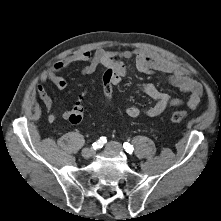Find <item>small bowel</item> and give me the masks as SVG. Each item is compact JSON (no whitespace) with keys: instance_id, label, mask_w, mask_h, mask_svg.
Here are the masks:
<instances>
[{"instance_id":"1","label":"small bowel","mask_w":221,"mask_h":221,"mask_svg":"<svg viewBox=\"0 0 221 221\" xmlns=\"http://www.w3.org/2000/svg\"><path fill=\"white\" fill-rule=\"evenodd\" d=\"M121 59L132 60L134 68L142 74L160 73L165 76L166 80L180 91L188 94L186 101L173 97L170 93L158 89L154 84L144 83L138 86L139 91L149 96L154 100V104L145 110L149 117H156L171 107L186 105L190 109H196L200 105V100L203 94L202 85L189 76L188 70L183 66L169 60L168 58L156 54H149L142 50L129 49L122 51H108L104 48L96 51H80L74 53L58 62H56L49 70L41 74V82H50L55 87L63 90L67 87L65 78L59 73L66 68L78 62H85L83 74H91L98 67L110 66L114 71L113 86L119 84L128 72V67ZM39 83L36 87L37 94L43 102L48 113V120L55 122L57 116L52 112L53 100L47 93L43 84ZM72 109L62 112L61 117L68 120ZM141 110L134 105L126 108V114L130 118H137Z\"/></svg>"}]
</instances>
